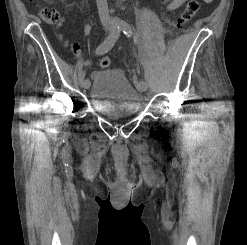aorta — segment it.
Here are the masks:
<instances>
[{
	"label": "aorta",
	"mask_w": 247,
	"mask_h": 245,
	"mask_svg": "<svg viewBox=\"0 0 247 245\" xmlns=\"http://www.w3.org/2000/svg\"><path fill=\"white\" fill-rule=\"evenodd\" d=\"M112 21H113L114 24H117V25L122 23V21L118 17H113Z\"/></svg>",
	"instance_id": "obj_1"
}]
</instances>
